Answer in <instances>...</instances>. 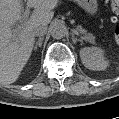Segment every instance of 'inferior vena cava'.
I'll list each match as a JSON object with an SVG mask.
<instances>
[{
  "mask_svg": "<svg viewBox=\"0 0 119 119\" xmlns=\"http://www.w3.org/2000/svg\"><path fill=\"white\" fill-rule=\"evenodd\" d=\"M47 32V25L45 24H39L37 26H35L34 28V34L37 36H42L44 34H46Z\"/></svg>",
  "mask_w": 119,
  "mask_h": 119,
  "instance_id": "602c4592",
  "label": "inferior vena cava"
}]
</instances>
